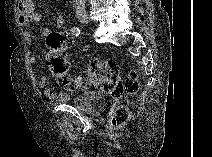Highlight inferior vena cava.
Masks as SVG:
<instances>
[{"label":"inferior vena cava","mask_w":212,"mask_h":157,"mask_svg":"<svg viewBox=\"0 0 212 157\" xmlns=\"http://www.w3.org/2000/svg\"><path fill=\"white\" fill-rule=\"evenodd\" d=\"M74 6L77 11L85 10V0H74Z\"/></svg>","instance_id":"602c4592"}]
</instances>
